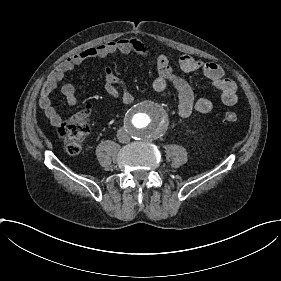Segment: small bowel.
Here are the masks:
<instances>
[{
	"label": "small bowel",
	"mask_w": 281,
	"mask_h": 281,
	"mask_svg": "<svg viewBox=\"0 0 281 281\" xmlns=\"http://www.w3.org/2000/svg\"><path fill=\"white\" fill-rule=\"evenodd\" d=\"M150 49H152L150 45L138 38L125 37L84 49L63 62L44 83L40 94V107L51 125L58 128L64 124L62 116L51 103V94L65 78L66 74L73 71L76 66L90 59L116 53L138 52L149 55L151 54ZM178 66L185 72L205 73L219 87L223 103L227 106L236 105L238 101L237 84L235 81L225 77L224 71L218 64L202 62L190 55H183L178 60ZM156 71L157 77L152 81V88L157 92H163L167 89L168 84H172L178 94L177 103L181 117H190L194 110L206 113L212 109L213 105L210 99L206 97H194L190 83L174 71L171 59L168 55H161L158 58ZM103 75L105 79V90L110 97L118 98L121 95L122 102L125 104H129L133 101V95L128 91L123 80L111 67H105ZM62 93L70 106L77 105L78 98L74 85L65 84L62 87Z\"/></svg>",
	"instance_id": "small-bowel-1"
}]
</instances>
